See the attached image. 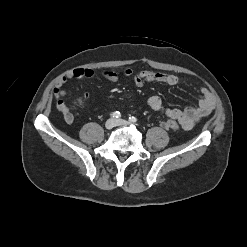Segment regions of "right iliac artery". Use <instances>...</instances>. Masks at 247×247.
Returning <instances> with one entry per match:
<instances>
[{
	"label": "right iliac artery",
	"mask_w": 247,
	"mask_h": 247,
	"mask_svg": "<svg viewBox=\"0 0 247 247\" xmlns=\"http://www.w3.org/2000/svg\"><path fill=\"white\" fill-rule=\"evenodd\" d=\"M110 116L113 117V118H120L121 117V114H120V112L115 111V112H112L110 114Z\"/></svg>",
	"instance_id": "82829eb1"
}]
</instances>
